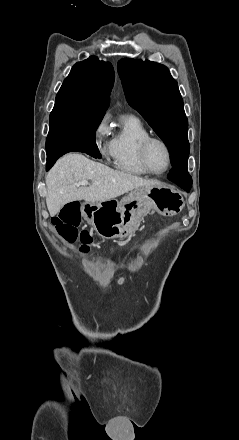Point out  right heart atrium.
<instances>
[{
    "label": "right heart atrium",
    "mask_w": 239,
    "mask_h": 440,
    "mask_svg": "<svg viewBox=\"0 0 239 440\" xmlns=\"http://www.w3.org/2000/svg\"><path fill=\"white\" fill-rule=\"evenodd\" d=\"M108 118L102 117L93 127L91 132L92 143L100 156L106 158L112 152V139L108 136Z\"/></svg>",
    "instance_id": "d8ad5b80"
}]
</instances>
